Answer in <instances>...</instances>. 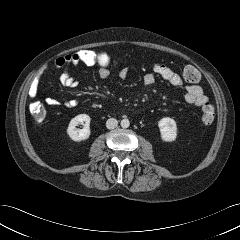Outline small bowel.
<instances>
[{
  "label": "small bowel",
  "mask_w": 240,
  "mask_h": 240,
  "mask_svg": "<svg viewBox=\"0 0 240 240\" xmlns=\"http://www.w3.org/2000/svg\"><path fill=\"white\" fill-rule=\"evenodd\" d=\"M54 65L58 68L61 69V74L59 77V82L62 86L67 87V88H76L78 86V81L70 75V73L67 70L68 66H75L72 59L71 55H63L59 56L54 60ZM153 72L152 73H147L143 77V83L145 85H153L155 83L156 77H160L161 79L165 80L168 82L170 85L174 87H182L185 89V101L186 103L198 107H204L207 104H210L209 98L207 95L204 94V91L201 86L197 84H189L185 85V80L184 78L173 71L171 68L166 66L163 63H155L153 65ZM110 68L107 67H99L98 69V77L101 80H107L110 77ZM129 74V70L126 66H121L118 70V76L121 79H126ZM38 92V80H35L30 89H29V96L31 98L35 97ZM45 102L50 105V106H58L63 104L64 106L68 108H73L77 105V102L73 99L61 101L57 98L54 97H47L45 99Z\"/></svg>",
  "instance_id": "small-bowel-1"
}]
</instances>
